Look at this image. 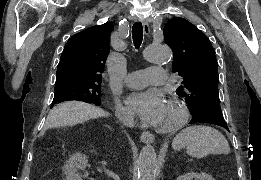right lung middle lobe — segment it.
<instances>
[{"mask_svg":"<svg viewBox=\"0 0 261 180\" xmlns=\"http://www.w3.org/2000/svg\"><path fill=\"white\" fill-rule=\"evenodd\" d=\"M100 86L101 82L68 81L55 84V95L52 105L69 100L100 105Z\"/></svg>","mask_w":261,"mask_h":180,"instance_id":"obj_1","label":"right lung middle lobe"}]
</instances>
